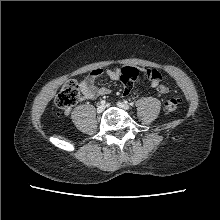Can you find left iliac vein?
I'll use <instances>...</instances> for the list:
<instances>
[{
	"mask_svg": "<svg viewBox=\"0 0 220 220\" xmlns=\"http://www.w3.org/2000/svg\"><path fill=\"white\" fill-rule=\"evenodd\" d=\"M117 106L123 110H128L129 109V105L125 102H118Z\"/></svg>",
	"mask_w": 220,
	"mask_h": 220,
	"instance_id": "1",
	"label": "left iliac vein"
}]
</instances>
